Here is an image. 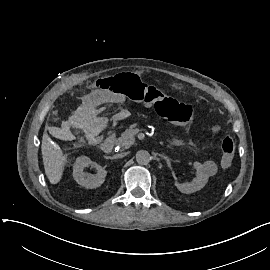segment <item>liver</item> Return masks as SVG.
<instances>
[{
    "label": "liver",
    "instance_id": "liver-1",
    "mask_svg": "<svg viewBox=\"0 0 270 270\" xmlns=\"http://www.w3.org/2000/svg\"><path fill=\"white\" fill-rule=\"evenodd\" d=\"M41 151L45 173L50 183L56 184L62 177L66 157L63 155L62 150L58 145L50 142V138L47 133L43 134Z\"/></svg>",
    "mask_w": 270,
    "mask_h": 270
}]
</instances>
